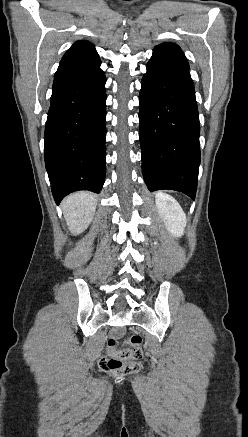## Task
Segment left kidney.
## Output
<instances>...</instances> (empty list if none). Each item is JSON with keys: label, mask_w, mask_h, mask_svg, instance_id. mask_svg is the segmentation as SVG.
<instances>
[{"label": "left kidney", "mask_w": 248, "mask_h": 437, "mask_svg": "<svg viewBox=\"0 0 248 437\" xmlns=\"http://www.w3.org/2000/svg\"><path fill=\"white\" fill-rule=\"evenodd\" d=\"M157 210L169 232L180 237L186 226V215L178 202L170 195L159 192L155 196Z\"/></svg>", "instance_id": "obj_1"}]
</instances>
